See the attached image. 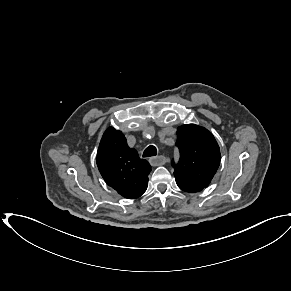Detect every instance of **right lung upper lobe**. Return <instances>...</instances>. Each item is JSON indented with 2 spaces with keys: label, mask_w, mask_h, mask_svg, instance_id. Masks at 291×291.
<instances>
[{
  "label": "right lung upper lobe",
  "mask_w": 291,
  "mask_h": 291,
  "mask_svg": "<svg viewBox=\"0 0 291 291\" xmlns=\"http://www.w3.org/2000/svg\"><path fill=\"white\" fill-rule=\"evenodd\" d=\"M97 166L105 182L128 199L140 197L147 189L151 166L129 148L121 131L108 128L102 136Z\"/></svg>",
  "instance_id": "obj_1"
}]
</instances>
